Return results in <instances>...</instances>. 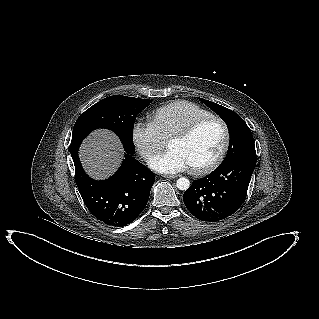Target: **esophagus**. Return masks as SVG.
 <instances>
[{"mask_svg": "<svg viewBox=\"0 0 319 319\" xmlns=\"http://www.w3.org/2000/svg\"><path fill=\"white\" fill-rule=\"evenodd\" d=\"M164 178H167V179H174V178H177V175H168V174H165L163 175Z\"/></svg>", "mask_w": 319, "mask_h": 319, "instance_id": "34e87169", "label": "esophagus"}]
</instances>
